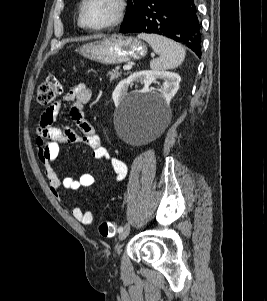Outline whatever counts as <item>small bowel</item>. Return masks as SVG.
<instances>
[{"label": "small bowel", "mask_w": 267, "mask_h": 301, "mask_svg": "<svg viewBox=\"0 0 267 301\" xmlns=\"http://www.w3.org/2000/svg\"><path fill=\"white\" fill-rule=\"evenodd\" d=\"M91 97L92 89L90 87L83 82L75 84L62 100L57 101L43 112L36 129L35 142L38 158L44 167L50 190L56 198L60 197L61 188L78 190L83 187H90L94 183V177L89 172L82 173L78 178L71 176L59 177L53 162L57 159L62 144L83 143L90 147L95 159L108 162L112 166L117 182L122 181L127 174L126 164L112 156L101 145L99 135L89 121L85 119L83 107L90 101ZM64 102L71 103L70 116L79 132L55 125V120ZM71 214L76 221L84 225L93 222V214L77 206L71 208Z\"/></svg>", "instance_id": "small-bowel-1"}]
</instances>
